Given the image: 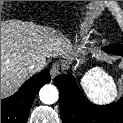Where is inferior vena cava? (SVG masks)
I'll return each instance as SVG.
<instances>
[{
    "label": "inferior vena cava",
    "mask_w": 123,
    "mask_h": 123,
    "mask_svg": "<svg viewBox=\"0 0 123 123\" xmlns=\"http://www.w3.org/2000/svg\"><path fill=\"white\" fill-rule=\"evenodd\" d=\"M43 67H44V64H35V63H33V64H31V65L28 66V70H29L30 72L39 71V70H41Z\"/></svg>",
    "instance_id": "1"
}]
</instances>
